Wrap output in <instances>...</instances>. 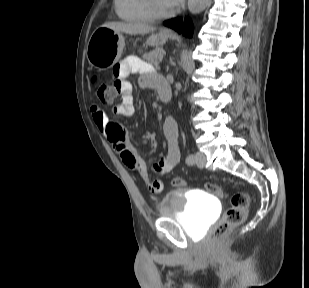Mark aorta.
I'll return each instance as SVG.
<instances>
[{
    "mask_svg": "<svg viewBox=\"0 0 309 288\" xmlns=\"http://www.w3.org/2000/svg\"><path fill=\"white\" fill-rule=\"evenodd\" d=\"M211 0H188V9L193 14H198L206 9Z\"/></svg>",
    "mask_w": 309,
    "mask_h": 288,
    "instance_id": "obj_1",
    "label": "aorta"
}]
</instances>
